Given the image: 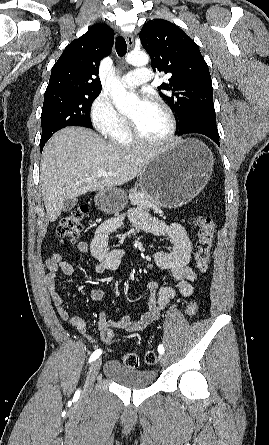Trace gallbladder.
<instances>
[{"mask_svg":"<svg viewBox=\"0 0 269 445\" xmlns=\"http://www.w3.org/2000/svg\"><path fill=\"white\" fill-rule=\"evenodd\" d=\"M76 204H77L76 198L65 199L63 210L70 211L71 209H73L76 206Z\"/></svg>","mask_w":269,"mask_h":445,"instance_id":"1","label":"gallbladder"}]
</instances>
